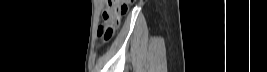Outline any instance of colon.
Returning a JSON list of instances; mask_svg holds the SVG:
<instances>
[{"mask_svg": "<svg viewBox=\"0 0 267 72\" xmlns=\"http://www.w3.org/2000/svg\"><path fill=\"white\" fill-rule=\"evenodd\" d=\"M134 0H108L107 16L103 17V24L99 26L97 35L104 41L109 40L118 28L122 17ZM104 13V12H103Z\"/></svg>", "mask_w": 267, "mask_h": 72, "instance_id": "colon-1", "label": "colon"}]
</instances>
